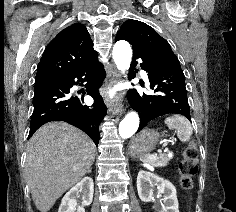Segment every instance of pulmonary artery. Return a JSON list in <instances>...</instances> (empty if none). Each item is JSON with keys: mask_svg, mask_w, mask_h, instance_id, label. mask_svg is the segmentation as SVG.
<instances>
[{"mask_svg": "<svg viewBox=\"0 0 236 212\" xmlns=\"http://www.w3.org/2000/svg\"><path fill=\"white\" fill-rule=\"evenodd\" d=\"M141 75L143 78L147 79V74L144 71L141 72Z\"/></svg>", "mask_w": 236, "mask_h": 212, "instance_id": "1", "label": "pulmonary artery"}]
</instances>
